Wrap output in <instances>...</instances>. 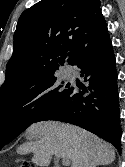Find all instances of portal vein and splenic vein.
<instances>
[{"label":"portal vein and splenic vein","instance_id":"portal-vein-and-splenic-vein-1","mask_svg":"<svg viewBox=\"0 0 125 167\" xmlns=\"http://www.w3.org/2000/svg\"><path fill=\"white\" fill-rule=\"evenodd\" d=\"M62 164L64 166H69L70 165V160L68 158H62Z\"/></svg>","mask_w":125,"mask_h":167}]
</instances>
